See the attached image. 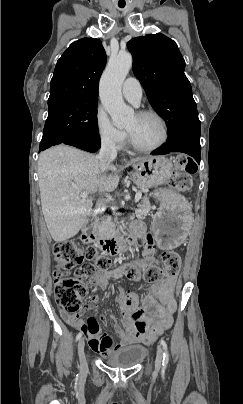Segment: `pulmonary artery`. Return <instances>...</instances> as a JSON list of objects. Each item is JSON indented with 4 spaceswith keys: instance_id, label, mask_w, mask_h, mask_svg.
I'll return each mask as SVG.
<instances>
[{
    "instance_id": "pulmonary-artery-1",
    "label": "pulmonary artery",
    "mask_w": 243,
    "mask_h": 404,
    "mask_svg": "<svg viewBox=\"0 0 243 404\" xmlns=\"http://www.w3.org/2000/svg\"><path fill=\"white\" fill-rule=\"evenodd\" d=\"M142 86L140 81L135 77H127L122 85L123 96L133 102L138 103L142 97Z\"/></svg>"
}]
</instances>
